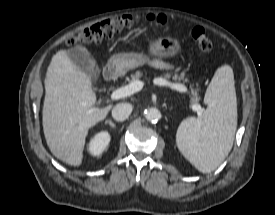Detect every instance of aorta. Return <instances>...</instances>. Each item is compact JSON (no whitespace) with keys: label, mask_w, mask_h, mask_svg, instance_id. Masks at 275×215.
I'll list each match as a JSON object with an SVG mask.
<instances>
[{"label":"aorta","mask_w":275,"mask_h":215,"mask_svg":"<svg viewBox=\"0 0 275 215\" xmlns=\"http://www.w3.org/2000/svg\"><path fill=\"white\" fill-rule=\"evenodd\" d=\"M161 117V113L157 108H149L145 112V118L149 122H157Z\"/></svg>","instance_id":"1"}]
</instances>
